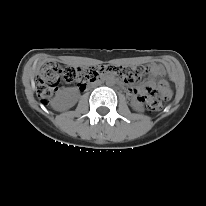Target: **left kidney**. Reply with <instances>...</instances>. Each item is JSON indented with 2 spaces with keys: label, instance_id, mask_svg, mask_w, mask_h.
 Listing matches in <instances>:
<instances>
[{
  "label": "left kidney",
  "instance_id": "5707ae66",
  "mask_svg": "<svg viewBox=\"0 0 206 206\" xmlns=\"http://www.w3.org/2000/svg\"><path fill=\"white\" fill-rule=\"evenodd\" d=\"M135 108H136V109H140V107H139V106H135Z\"/></svg>",
  "mask_w": 206,
  "mask_h": 206
}]
</instances>
